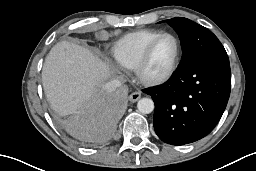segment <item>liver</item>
<instances>
[{
    "mask_svg": "<svg viewBox=\"0 0 256 171\" xmlns=\"http://www.w3.org/2000/svg\"><path fill=\"white\" fill-rule=\"evenodd\" d=\"M109 75V66L88 49L63 41L53 46L47 55L42 82L52 108L67 116L99 101L100 88Z\"/></svg>",
    "mask_w": 256,
    "mask_h": 171,
    "instance_id": "6515ba94",
    "label": "liver"
}]
</instances>
